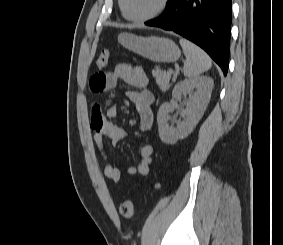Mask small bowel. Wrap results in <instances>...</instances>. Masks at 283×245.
Listing matches in <instances>:
<instances>
[{
  "instance_id": "obj_1",
  "label": "small bowel",
  "mask_w": 283,
  "mask_h": 245,
  "mask_svg": "<svg viewBox=\"0 0 283 245\" xmlns=\"http://www.w3.org/2000/svg\"><path fill=\"white\" fill-rule=\"evenodd\" d=\"M122 81L136 88L129 90L127 97L136 105L139 115V126L143 132H150L154 124L153 103L154 96L147 89L148 77L141 67L130 64H118L112 72H97L89 81L90 90L97 94L115 88ZM117 115V106L112 103L103 113L99 106H94L91 116V128L93 141L105 161L103 174L106 178L119 182L122 178V170L113 163L104 146V140L110 139L116 145L124 136V129L114 122ZM153 147L144 145L140 150L138 164L127 168L129 175H147L152 163Z\"/></svg>"
}]
</instances>
